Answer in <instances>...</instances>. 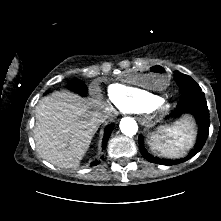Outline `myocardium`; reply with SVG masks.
Returning a JSON list of instances; mask_svg holds the SVG:
<instances>
[{
	"mask_svg": "<svg viewBox=\"0 0 221 221\" xmlns=\"http://www.w3.org/2000/svg\"><path fill=\"white\" fill-rule=\"evenodd\" d=\"M152 109L156 110L160 114L166 113L170 109V104L165 99L161 98ZM150 108V109H151Z\"/></svg>",
	"mask_w": 221,
	"mask_h": 221,
	"instance_id": "obj_1",
	"label": "myocardium"
}]
</instances>
